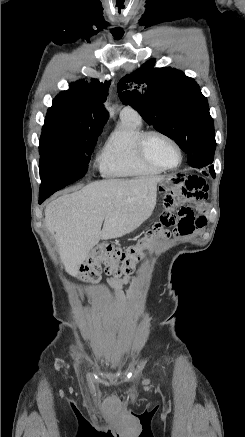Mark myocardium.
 Wrapping results in <instances>:
<instances>
[{
  "mask_svg": "<svg viewBox=\"0 0 245 437\" xmlns=\"http://www.w3.org/2000/svg\"><path fill=\"white\" fill-rule=\"evenodd\" d=\"M152 136L162 137V138L166 139L167 141H169L176 148V150L178 152V156H179V159H178V162L176 165L165 166V165L160 164L157 161L153 160L148 155V153L146 151V143H147V140ZM137 151H138V154L143 161H145L149 165H152L154 167H157V168H159L161 170H165V171L177 169L183 161V151H182V148L179 145V143L172 136H170L169 134H167L161 130H149V131L143 132L137 141Z\"/></svg>",
  "mask_w": 245,
  "mask_h": 437,
  "instance_id": "1",
  "label": "myocardium"
}]
</instances>
